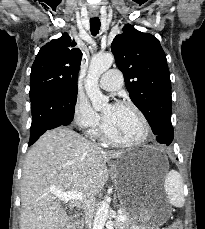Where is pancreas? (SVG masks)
Masks as SVG:
<instances>
[{"instance_id": "obj_1", "label": "pancreas", "mask_w": 205, "mask_h": 229, "mask_svg": "<svg viewBox=\"0 0 205 229\" xmlns=\"http://www.w3.org/2000/svg\"><path fill=\"white\" fill-rule=\"evenodd\" d=\"M121 215L127 216L125 212H122ZM127 218L128 219L126 221L117 222L115 225V229H136L134 222L131 219H129V217Z\"/></svg>"}]
</instances>
